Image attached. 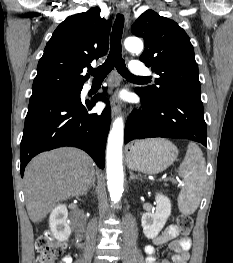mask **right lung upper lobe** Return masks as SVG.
<instances>
[{
    "mask_svg": "<svg viewBox=\"0 0 233 263\" xmlns=\"http://www.w3.org/2000/svg\"><path fill=\"white\" fill-rule=\"evenodd\" d=\"M110 28L98 7L66 18L38 62L31 97L82 87L89 78L84 68L107 53Z\"/></svg>",
    "mask_w": 233,
    "mask_h": 263,
    "instance_id": "right-lung-upper-lobe-1",
    "label": "right lung upper lobe"
}]
</instances>
